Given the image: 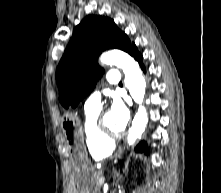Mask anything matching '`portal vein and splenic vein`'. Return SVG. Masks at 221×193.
<instances>
[{
	"instance_id": "1",
	"label": "portal vein and splenic vein",
	"mask_w": 221,
	"mask_h": 193,
	"mask_svg": "<svg viewBox=\"0 0 221 193\" xmlns=\"http://www.w3.org/2000/svg\"><path fill=\"white\" fill-rule=\"evenodd\" d=\"M104 181H105V177L102 176L99 180L100 185H102L104 183Z\"/></svg>"
}]
</instances>
